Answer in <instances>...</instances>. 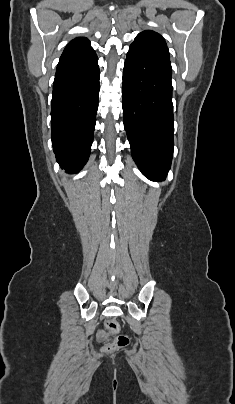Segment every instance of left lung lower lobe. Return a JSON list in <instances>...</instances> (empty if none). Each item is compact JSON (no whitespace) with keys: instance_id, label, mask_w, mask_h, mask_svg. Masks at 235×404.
I'll return each mask as SVG.
<instances>
[{"instance_id":"1","label":"left lung lower lobe","mask_w":235,"mask_h":404,"mask_svg":"<svg viewBox=\"0 0 235 404\" xmlns=\"http://www.w3.org/2000/svg\"><path fill=\"white\" fill-rule=\"evenodd\" d=\"M170 59L130 46L123 71L124 127L132 157L150 180L162 181L174 147Z\"/></svg>"}]
</instances>
